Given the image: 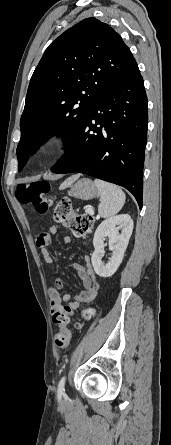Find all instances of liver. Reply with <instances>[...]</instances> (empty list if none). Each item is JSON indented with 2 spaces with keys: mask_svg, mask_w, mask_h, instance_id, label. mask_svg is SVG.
I'll list each match as a JSON object with an SVG mask.
<instances>
[{
  "mask_svg": "<svg viewBox=\"0 0 171 445\" xmlns=\"http://www.w3.org/2000/svg\"><path fill=\"white\" fill-rule=\"evenodd\" d=\"M78 178V176H74V177H72V178H69L67 181H65L63 184H62V187H67V186H69L73 181H75L76 179Z\"/></svg>",
  "mask_w": 171,
  "mask_h": 445,
  "instance_id": "6515ba94",
  "label": "liver"
}]
</instances>
